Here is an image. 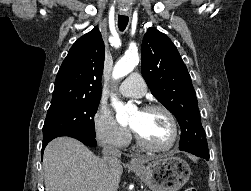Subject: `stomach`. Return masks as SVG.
Returning a JSON list of instances; mask_svg holds the SVG:
<instances>
[{"label":"stomach","mask_w":251,"mask_h":191,"mask_svg":"<svg viewBox=\"0 0 251 191\" xmlns=\"http://www.w3.org/2000/svg\"><path fill=\"white\" fill-rule=\"evenodd\" d=\"M146 161L142 159L140 167H129L136 171L152 191H178L192 175L189 163L176 155L150 157L148 165L144 167Z\"/></svg>","instance_id":"stomach-1"}]
</instances>
